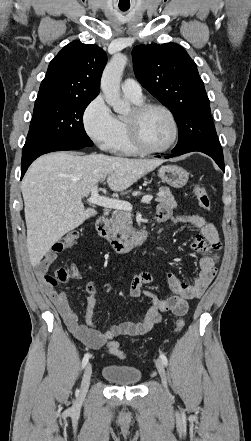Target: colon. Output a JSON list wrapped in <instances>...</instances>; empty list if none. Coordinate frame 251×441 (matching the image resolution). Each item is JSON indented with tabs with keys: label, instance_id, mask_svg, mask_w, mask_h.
Returning a JSON list of instances; mask_svg holds the SVG:
<instances>
[{
	"label": "colon",
	"instance_id": "colon-1",
	"mask_svg": "<svg viewBox=\"0 0 251 441\" xmlns=\"http://www.w3.org/2000/svg\"><path fill=\"white\" fill-rule=\"evenodd\" d=\"M193 193L196 199L198 200L200 207L203 208L204 210L209 211L211 209V199L206 189L200 184H195L193 188ZM78 239H79V232L75 230L70 231L65 235H63V237L53 245L52 250L54 252H61L73 246L78 241ZM70 277H73V273L71 271H68L64 268H57L54 270L52 275H48L45 273L41 279L45 283L55 285L57 283L67 281ZM184 327H185L184 319H178L175 323V330L179 332ZM107 350L110 355H114L119 358L125 357L118 342H111L108 345Z\"/></svg>",
	"mask_w": 251,
	"mask_h": 441
}]
</instances>
